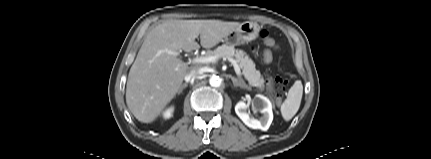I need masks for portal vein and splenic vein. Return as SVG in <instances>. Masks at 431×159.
<instances>
[{
	"instance_id": "18ae733b",
	"label": "portal vein and splenic vein",
	"mask_w": 431,
	"mask_h": 159,
	"mask_svg": "<svg viewBox=\"0 0 431 159\" xmlns=\"http://www.w3.org/2000/svg\"><path fill=\"white\" fill-rule=\"evenodd\" d=\"M166 52L168 54L174 55V56L179 55V52L172 51V50H166ZM227 59L233 65L236 74L238 76H241V70H240V67L237 64L236 60L233 58H227ZM217 60H218V56L208 55V56H203V57H195V58L191 59L190 62L193 64H206V63H214Z\"/></svg>"
}]
</instances>
